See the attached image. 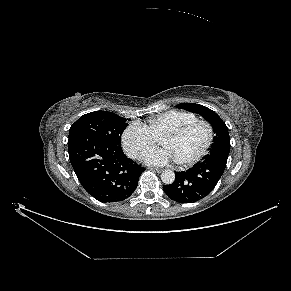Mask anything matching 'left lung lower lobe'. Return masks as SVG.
<instances>
[{"label": "left lung lower lobe", "mask_w": 291, "mask_h": 291, "mask_svg": "<svg viewBox=\"0 0 291 291\" xmlns=\"http://www.w3.org/2000/svg\"><path fill=\"white\" fill-rule=\"evenodd\" d=\"M229 151L230 143L215 145L193 168L175 172V181L163 186L164 192L179 203H193L206 197L222 176Z\"/></svg>", "instance_id": "1"}]
</instances>
